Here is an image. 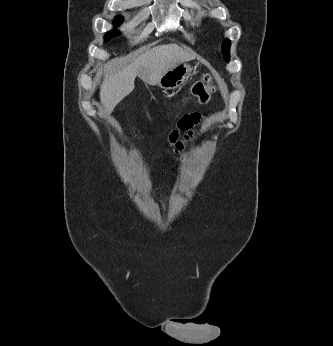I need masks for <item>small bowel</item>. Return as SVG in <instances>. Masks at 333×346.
Returning a JSON list of instances; mask_svg holds the SVG:
<instances>
[{
  "label": "small bowel",
  "instance_id": "small-bowel-1",
  "mask_svg": "<svg viewBox=\"0 0 333 346\" xmlns=\"http://www.w3.org/2000/svg\"><path fill=\"white\" fill-rule=\"evenodd\" d=\"M197 122L198 118L186 115L180 120L177 129L172 131L170 141L178 150H181L184 145L182 141V133L188 132L197 124ZM185 137L188 138L189 136L186 135Z\"/></svg>",
  "mask_w": 333,
  "mask_h": 346
}]
</instances>
